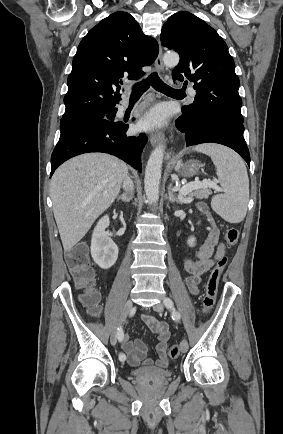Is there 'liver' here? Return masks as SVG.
Wrapping results in <instances>:
<instances>
[{"label":"liver","instance_id":"6515ba94","mask_svg":"<svg viewBox=\"0 0 283 434\" xmlns=\"http://www.w3.org/2000/svg\"><path fill=\"white\" fill-rule=\"evenodd\" d=\"M127 172L123 161L105 153L79 155L55 171L50 196L65 252L70 251L112 205Z\"/></svg>","mask_w":283,"mask_h":434}]
</instances>
